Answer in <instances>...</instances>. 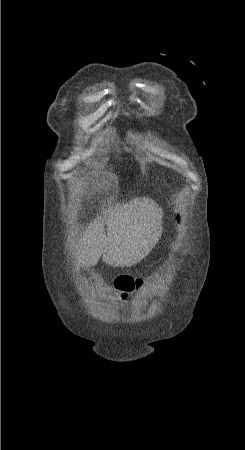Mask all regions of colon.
<instances>
[{
    "label": "colon",
    "instance_id": "1",
    "mask_svg": "<svg viewBox=\"0 0 245 450\" xmlns=\"http://www.w3.org/2000/svg\"><path fill=\"white\" fill-rule=\"evenodd\" d=\"M178 223L183 229L186 228L185 227V218L183 216H180L178 218ZM119 284L122 289L127 290L130 293H133L138 289L139 285L141 284V280L135 279L131 276H128V277H124V278L120 279Z\"/></svg>",
    "mask_w": 245,
    "mask_h": 450
}]
</instances>
